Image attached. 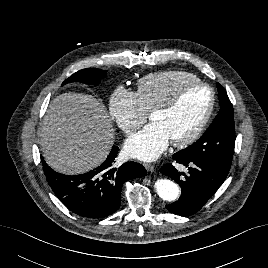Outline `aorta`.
<instances>
[{
	"label": "aorta",
	"instance_id": "1",
	"mask_svg": "<svg viewBox=\"0 0 268 268\" xmlns=\"http://www.w3.org/2000/svg\"><path fill=\"white\" fill-rule=\"evenodd\" d=\"M154 186L159 197L166 201H174L180 194L179 186L168 179H158Z\"/></svg>",
	"mask_w": 268,
	"mask_h": 268
}]
</instances>
